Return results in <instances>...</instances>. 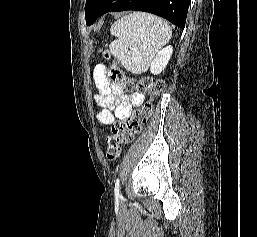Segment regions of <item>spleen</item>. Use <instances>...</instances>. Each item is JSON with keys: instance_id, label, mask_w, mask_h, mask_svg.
Listing matches in <instances>:
<instances>
[{"instance_id": "obj_1", "label": "spleen", "mask_w": 257, "mask_h": 237, "mask_svg": "<svg viewBox=\"0 0 257 237\" xmlns=\"http://www.w3.org/2000/svg\"><path fill=\"white\" fill-rule=\"evenodd\" d=\"M111 34L117 37L109 45L111 54L125 69L140 74L147 71L168 43L172 29L159 17L135 12L117 20L111 26Z\"/></svg>"}]
</instances>
